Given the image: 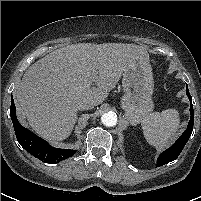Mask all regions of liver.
<instances>
[{
	"label": "liver",
	"instance_id": "1",
	"mask_svg": "<svg viewBox=\"0 0 201 201\" xmlns=\"http://www.w3.org/2000/svg\"><path fill=\"white\" fill-rule=\"evenodd\" d=\"M146 48L123 43H79L57 49L31 65L16 90L18 111L35 132L51 142L66 139L78 104H101L123 71ZM96 87H92V84Z\"/></svg>",
	"mask_w": 201,
	"mask_h": 201
}]
</instances>
